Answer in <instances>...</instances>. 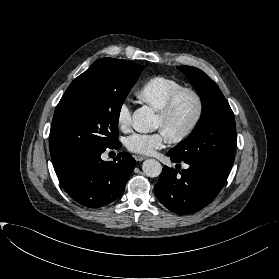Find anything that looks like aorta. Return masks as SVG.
Masks as SVG:
<instances>
[{"label": "aorta", "mask_w": 279, "mask_h": 279, "mask_svg": "<svg viewBox=\"0 0 279 279\" xmlns=\"http://www.w3.org/2000/svg\"><path fill=\"white\" fill-rule=\"evenodd\" d=\"M132 125L137 132H153L158 126L157 116L151 108L143 106L134 111ZM142 169L146 176L153 178L161 174L162 165L155 159H147L143 162Z\"/></svg>", "instance_id": "1"}]
</instances>
